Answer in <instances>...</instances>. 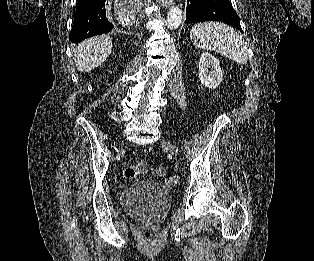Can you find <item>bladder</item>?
Listing matches in <instances>:
<instances>
[{
  "mask_svg": "<svg viewBox=\"0 0 314 261\" xmlns=\"http://www.w3.org/2000/svg\"><path fill=\"white\" fill-rule=\"evenodd\" d=\"M171 203V195L161 184L146 180L129 184L121 194L123 209L133 216H148L161 220Z\"/></svg>",
  "mask_w": 314,
  "mask_h": 261,
  "instance_id": "bladder-1",
  "label": "bladder"
}]
</instances>
